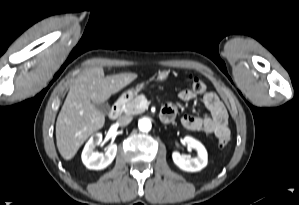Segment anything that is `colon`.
Returning a JSON list of instances; mask_svg holds the SVG:
<instances>
[{"label": "colon", "mask_w": 299, "mask_h": 205, "mask_svg": "<svg viewBox=\"0 0 299 205\" xmlns=\"http://www.w3.org/2000/svg\"><path fill=\"white\" fill-rule=\"evenodd\" d=\"M188 80L190 83L191 90L194 93L202 94V93L206 92L207 87L204 84V82H202L200 79H198L197 77H195L193 75H189ZM229 141H230L229 135H224V136H221L220 138H218V144L221 147L226 146L229 143Z\"/></svg>", "instance_id": "colon-1"}]
</instances>
